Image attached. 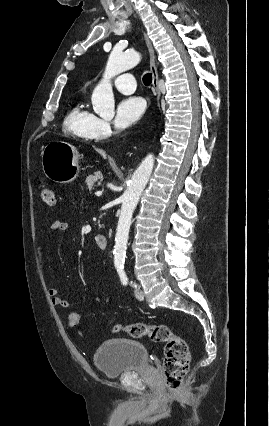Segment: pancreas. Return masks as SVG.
I'll return each instance as SVG.
<instances>
[{"label":"pancreas","instance_id":"obj_1","mask_svg":"<svg viewBox=\"0 0 269 426\" xmlns=\"http://www.w3.org/2000/svg\"><path fill=\"white\" fill-rule=\"evenodd\" d=\"M103 179V176L101 173H95L93 175H90L86 178V185H87V189L89 191H92L94 189V186L96 185V183L101 182Z\"/></svg>","mask_w":269,"mask_h":426}]
</instances>
